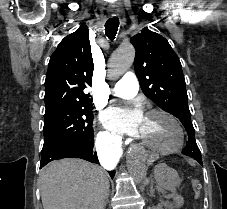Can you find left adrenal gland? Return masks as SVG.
<instances>
[{
	"label": "left adrenal gland",
	"instance_id": "1",
	"mask_svg": "<svg viewBox=\"0 0 227 209\" xmlns=\"http://www.w3.org/2000/svg\"><path fill=\"white\" fill-rule=\"evenodd\" d=\"M154 181H151L150 185V195L151 197H154L155 189H153Z\"/></svg>",
	"mask_w": 227,
	"mask_h": 209
}]
</instances>
